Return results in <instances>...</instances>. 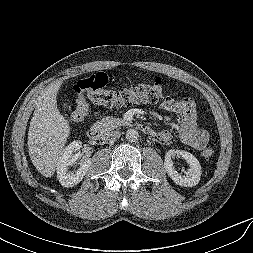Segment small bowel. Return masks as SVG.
Listing matches in <instances>:
<instances>
[{"label":"small bowel","mask_w":253,"mask_h":253,"mask_svg":"<svg viewBox=\"0 0 253 253\" xmlns=\"http://www.w3.org/2000/svg\"><path fill=\"white\" fill-rule=\"evenodd\" d=\"M161 108L179 116V137L184 144L195 150L205 147L208 135L198 126L195 103L192 98L167 97L161 103ZM157 138L162 142H169L172 139V134L168 130H162L157 133Z\"/></svg>","instance_id":"obj_1"}]
</instances>
